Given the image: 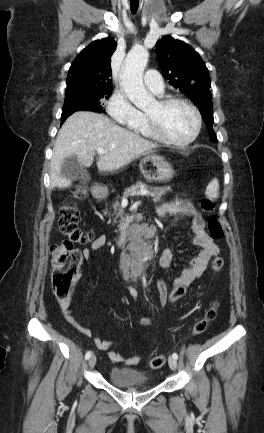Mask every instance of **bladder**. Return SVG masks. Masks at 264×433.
I'll return each instance as SVG.
<instances>
[{
	"label": "bladder",
	"mask_w": 264,
	"mask_h": 433,
	"mask_svg": "<svg viewBox=\"0 0 264 433\" xmlns=\"http://www.w3.org/2000/svg\"><path fill=\"white\" fill-rule=\"evenodd\" d=\"M108 377L110 382L118 387L146 389L151 386L148 376L134 369L113 367Z\"/></svg>",
	"instance_id": "31cf9c89"
}]
</instances>
